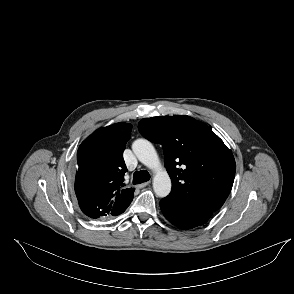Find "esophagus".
<instances>
[{
	"label": "esophagus",
	"mask_w": 294,
	"mask_h": 294,
	"mask_svg": "<svg viewBox=\"0 0 294 294\" xmlns=\"http://www.w3.org/2000/svg\"><path fill=\"white\" fill-rule=\"evenodd\" d=\"M149 184H150V182L148 181V182L137 185V188L141 189V188L148 186Z\"/></svg>",
	"instance_id": "obj_1"
}]
</instances>
